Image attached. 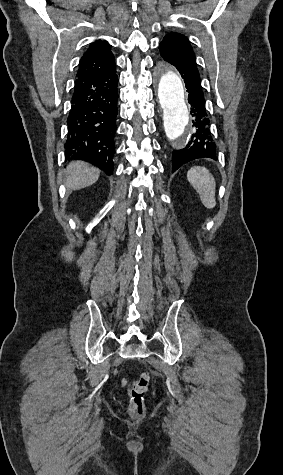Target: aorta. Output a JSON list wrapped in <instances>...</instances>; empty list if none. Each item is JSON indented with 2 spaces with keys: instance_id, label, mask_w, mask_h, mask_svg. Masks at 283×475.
<instances>
[{
  "instance_id": "762f6f07",
  "label": "aorta",
  "mask_w": 283,
  "mask_h": 475,
  "mask_svg": "<svg viewBox=\"0 0 283 475\" xmlns=\"http://www.w3.org/2000/svg\"><path fill=\"white\" fill-rule=\"evenodd\" d=\"M158 98L168 141L177 149L184 148L192 133V123L182 80L169 68H160L158 71Z\"/></svg>"
}]
</instances>
